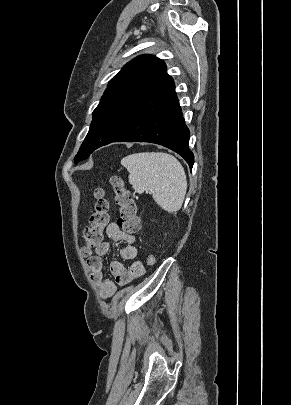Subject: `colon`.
<instances>
[{"label":"colon","mask_w":291,"mask_h":405,"mask_svg":"<svg viewBox=\"0 0 291 405\" xmlns=\"http://www.w3.org/2000/svg\"><path fill=\"white\" fill-rule=\"evenodd\" d=\"M110 183L115 192L116 203L120 207V215L117 225L126 233H136L140 229V220L137 213V206L126 188L123 178L113 176ZM95 203L92 214L89 218V225L83 233L84 246L83 253L90 255L92 250L103 243L104 230L109 225V205L104 197V191L97 188L94 192ZM156 263V256L151 253L146 258L147 266H153Z\"/></svg>","instance_id":"5ec220e1"}]
</instances>
